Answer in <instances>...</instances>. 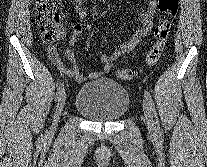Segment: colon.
Masks as SVG:
<instances>
[{"mask_svg": "<svg viewBox=\"0 0 207 167\" xmlns=\"http://www.w3.org/2000/svg\"><path fill=\"white\" fill-rule=\"evenodd\" d=\"M61 0H37L35 19L39 26L40 35L45 43L55 44L61 38L63 28L60 16ZM160 12L163 18L154 28L155 42L145 57V65H156L164 51L169 31L171 28L170 18L178 11V0H158ZM122 80H131L138 75L134 69H122L117 73Z\"/></svg>", "mask_w": 207, "mask_h": 167, "instance_id": "5ec220e1", "label": "colon"}]
</instances>
